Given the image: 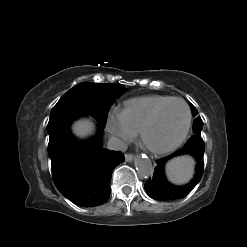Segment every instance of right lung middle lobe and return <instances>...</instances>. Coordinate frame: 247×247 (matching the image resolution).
Here are the masks:
<instances>
[{
	"label": "right lung middle lobe",
	"mask_w": 247,
	"mask_h": 247,
	"mask_svg": "<svg viewBox=\"0 0 247 247\" xmlns=\"http://www.w3.org/2000/svg\"><path fill=\"white\" fill-rule=\"evenodd\" d=\"M127 89L124 85L82 82L65 93L53 107L50 117L64 113H87L104 126L114 100Z\"/></svg>",
	"instance_id": "1"
}]
</instances>
